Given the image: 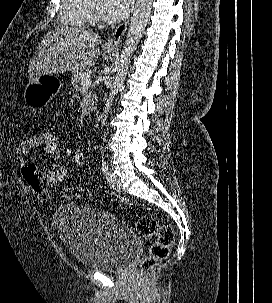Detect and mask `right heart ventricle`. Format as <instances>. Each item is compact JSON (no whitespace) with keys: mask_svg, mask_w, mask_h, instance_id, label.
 Returning <instances> with one entry per match:
<instances>
[{"mask_svg":"<svg viewBox=\"0 0 272 303\" xmlns=\"http://www.w3.org/2000/svg\"><path fill=\"white\" fill-rule=\"evenodd\" d=\"M90 0H61L59 21L70 27H87L92 23Z\"/></svg>","mask_w":272,"mask_h":303,"instance_id":"right-heart-ventricle-1","label":"right heart ventricle"}]
</instances>
